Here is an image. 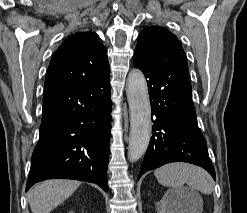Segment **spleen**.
Here are the masks:
<instances>
[{
	"label": "spleen",
	"mask_w": 247,
	"mask_h": 213,
	"mask_svg": "<svg viewBox=\"0 0 247 213\" xmlns=\"http://www.w3.org/2000/svg\"><path fill=\"white\" fill-rule=\"evenodd\" d=\"M157 180L163 186L179 191L183 184L197 189L203 194H211L214 190V181L203 168L187 163L176 162L166 164L154 171Z\"/></svg>",
	"instance_id": "1"
}]
</instances>
